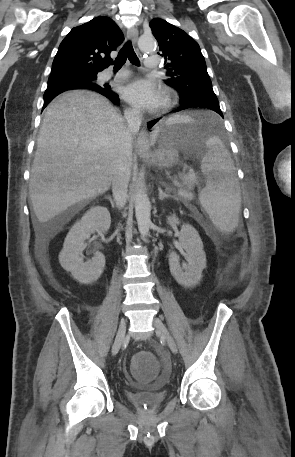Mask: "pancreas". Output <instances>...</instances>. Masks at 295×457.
<instances>
[{"mask_svg": "<svg viewBox=\"0 0 295 457\" xmlns=\"http://www.w3.org/2000/svg\"><path fill=\"white\" fill-rule=\"evenodd\" d=\"M183 185H184V187L180 188L178 190V195L182 198L183 202L192 200L193 194H192L191 190L194 187V182H192L190 180L184 181Z\"/></svg>", "mask_w": 295, "mask_h": 457, "instance_id": "cf45deb5", "label": "pancreas"}]
</instances>
